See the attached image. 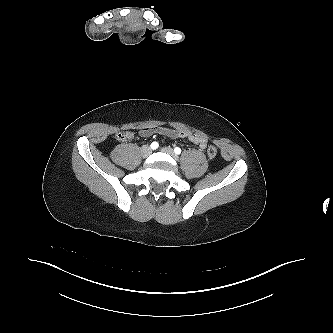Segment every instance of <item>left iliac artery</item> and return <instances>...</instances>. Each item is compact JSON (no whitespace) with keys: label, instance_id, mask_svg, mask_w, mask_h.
Listing matches in <instances>:
<instances>
[{"label":"left iliac artery","instance_id":"obj_1","mask_svg":"<svg viewBox=\"0 0 333 333\" xmlns=\"http://www.w3.org/2000/svg\"><path fill=\"white\" fill-rule=\"evenodd\" d=\"M174 152H175L177 155H179V154L181 153V149H180L179 147H176V148L174 149Z\"/></svg>","mask_w":333,"mask_h":333}]
</instances>
